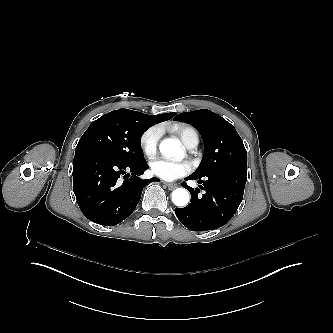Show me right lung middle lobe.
Listing matches in <instances>:
<instances>
[{
    "instance_id": "right-lung-middle-lobe-1",
    "label": "right lung middle lobe",
    "mask_w": 333,
    "mask_h": 333,
    "mask_svg": "<svg viewBox=\"0 0 333 333\" xmlns=\"http://www.w3.org/2000/svg\"><path fill=\"white\" fill-rule=\"evenodd\" d=\"M151 125L138 113L118 109L93 121L76 148L88 147L103 151L120 162H144L140 140Z\"/></svg>"
}]
</instances>
